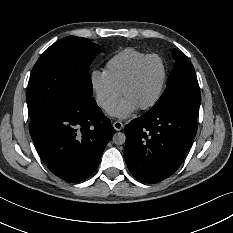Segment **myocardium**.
<instances>
[{"label": "myocardium", "mask_w": 233, "mask_h": 233, "mask_svg": "<svg viewBox=\"0 0 233 233\" xmlns=\"http://www.w3.org/2000/svg\"><path fill=\"white\" fill-rule=\"evenodd\" d=\"M153 58H159L162 61L163 66H164V78H163V82H162V85L160 87L159 93L157 94L155 99L151 103H149L148 105L140 107L141 111H149V110L155 108L160 103V101L162 100V98L165 94L167 84L169 81V66H168L166 59L162 55L157 54V53L148 54L133 69V71L130 73V75L127 77V79L125 80V82L123 83V85L121 87L122 95L125 96L127 89L136 81V79L138 78L139 74L141 73V71L143 70L145 65Z\"/></svg>", "instance_id": "f54148a6"}]
</instances>
